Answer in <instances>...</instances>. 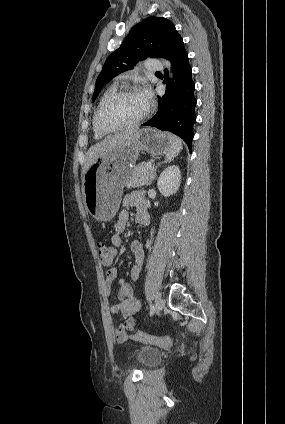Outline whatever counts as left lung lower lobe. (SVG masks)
Listing matches in <instances>:
<instances>
[{
	"label": "left lung lower lobe",
	"instance_id": "1",
	"mask_svg": "<svg viewBox=\"0 0 285 424\" xmlns=\"http://www.w3.org/2000/svg\"><path fill=\"white\" fill-rule=\"evenodd\" d=\"M168 60L172 63L174 81L171 82L170 87H167L165 95L158 97L159 105L155 116L143 126L172 132L185 141L191 152V141L194 137L193 124L196 119L195 84L192 80L188 53L181 37L175 42ZM165 73H167L166 70ZM169 82L170 80L166 77L164 83Z\"/></svg>",
	"mask_w": 285,
	"mask_h": 424
}]
</instances>
